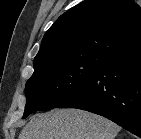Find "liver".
Segmentation results:
<instances>
[{"instance_id": "6515ba94", "label": "liver", "mask_w": 141, "mask_h": 139, "mask_svg": "<svg viewBox=\"0 0 141 139\" xmlns=\"http://www.w3.org/2000/svg\"><path fill=\"white\" fill-rule=\"evenodd\" d=\"M120 127L107 118L80 109H54L34 115L19 139H115Z\"/></svg>"}]
</instances>
